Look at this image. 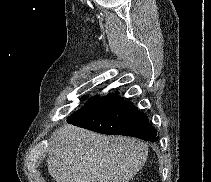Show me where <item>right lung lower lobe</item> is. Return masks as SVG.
<instances>
[{"mask_svg":"<svg viewBox=\"0 0 211 182\" xmlns=\"http://www.w3.org/2000/svg\"><path fill=\"white\" fill-rule=\"evenodd\" d=\"M115 94L90 97L67 122L102 134L126 135L145 141H157L156 130L149 124L145 113L131 102Z\"/></svg>","mask_w":211,"mask_h":182,"instance_id":"1","label":"right lung lower lobe"}]
</instances>
